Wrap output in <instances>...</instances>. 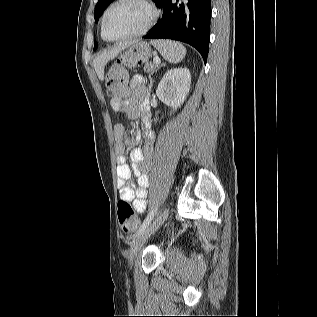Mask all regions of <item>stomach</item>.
I'll list each match as a JSON object with an SVG mask.
<instances>
[{"label":"stomach","instance_id":"1","mask_svg":"<svg viewBox=\"0 0 317 317\" xmlns=\"http://www.w3.org/2000/svg\"><path fill=\"white\" fill-rule=\"evenodd\" d=\"M151 56V48L146 42H135L131 44L127 50L115 59V62L121 68L131 70L134 66H147V62Z\"/></svg>","mask_w":317,"mask_h":317}]
</instances>
